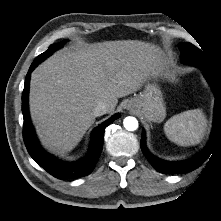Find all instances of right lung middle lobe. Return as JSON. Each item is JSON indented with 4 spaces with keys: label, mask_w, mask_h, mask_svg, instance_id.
I'll return each instance as SVG.
<instances>
[{
    "label": "right lung middle lobe",
    "mask_w": 221,
    "mask_h": 221,
    "mask_svg": "<svg viewBox=\"0 0 221 221\" xmlns=\"http://www.w3.org/2000/svg\"><path fill=\"white\" fill-rule=\"evenodd\" d=\"M66 41H62L58 44H52L50 45L49 49L47 51H45L44 53L40 54L36 59H41V62L46 59L48 56H50L54 50L60 48L63 46V44L65 43Z\"/></svg>",
    "instance_id": "right-lung-middle-lobe-1"
}]
</instances>
